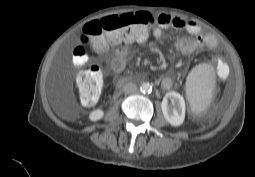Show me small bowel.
Returning <instances> with one entry per match:
<instances>
[{
  "label": "small bowel",
  "instance_id": "1",
  "mask_svg": "<svg viewBox=\"0 0 255 177\" xmlns=\"http://www.w3.org/2000/svg\"><path fill=\"white\" fill-rule=\"evenodd\" d=\"M162 18L165 21L164 27H173L177 30L185 31L191 34L193 37H184L179 39L175 47L182 54H191L199 52L205 48L213 49L217 41L214 36L204 34L201 26L192 20L183 19L180 17H173L167 14H162ZM148 39V33L143 38L138 39L137 42L143 43ZM100 51L105 50L99 49ZM128 55V46L126 44L121 45L115 49L114 56L110 62V68L114 73H120L126 66ZM225 67L221 63H217V72L222 73ZM161 87L164 90H169L173 87V81L170 77H164L161 80Z\"/></svg>",
  "mask_w": 255,
  "mask_h": 177
}]
</instances>
